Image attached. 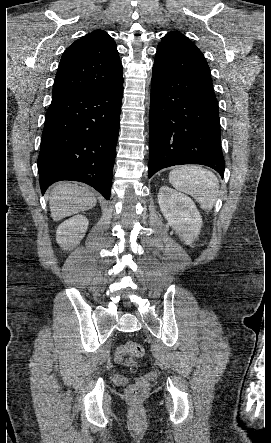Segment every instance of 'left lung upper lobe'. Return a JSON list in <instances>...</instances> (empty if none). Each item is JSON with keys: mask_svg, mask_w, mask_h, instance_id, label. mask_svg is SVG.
<instances>
[{"mask_svg": "<svg viewBox=\"0 0 271 443\" xmlns=\"http://www.w3.org/2000/svg\"><path fill=\"white\" fill-rule=\"evenodd\" d=\"M158 48H175L203 56L202 52L195 46L192 41H190L183 34L176 31H171L167 33L162 41L159 43Z\"/></svg>", "mask_w": 271, "mask_h": 443, "instance_id": "5c2ea615", "label": "left lung upper lobe"}]
</instances>
